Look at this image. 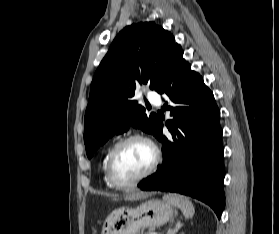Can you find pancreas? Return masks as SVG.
I'll return each mask as SVG.
<instances>
[{
    "instance_id": "pancreas-1",
    "label": "pancreas",
    "mask_w": 279,
    "mask_h": 234,
    "mask_svg": "<svg viewBox=\"0 0 279 234\" xmlns=\"http://www.w3.org/2000/svg\"><path fill=\"white\" fill-rule=\"evenodd\" d=\"M146 234H155V233H152V232H148V233H146Z\"/></svg>"
}]
</instances>
